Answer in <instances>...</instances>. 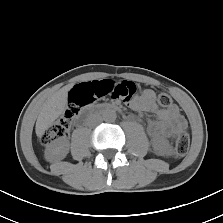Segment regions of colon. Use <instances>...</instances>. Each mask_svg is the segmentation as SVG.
Returning <instances> with one entry per match:
<instances>
[{
  "instance_id": "5ec220e1",
  "label": "colon",
  "mask_w": 223,
  "mask_h": 223,
  "mask_svg": "<svg viewBox=\"0 0 223 223\" xmlns=\"http://www.w3.org/2000/svg\"><path fill=\"white\" fill-rule=\"evenodd\" d=\"M136 92L137 87L131 81H122L116 84L109 80H102L75 85L69 91L68 104L64 115L45 132L42 139L43 143L46 144L66 137L73 120L83 106L104 96H110L113 99L127 102L132 99ZM157 101L162 107H169L172 104L171 97L166 93L159 94ZM189 147V134L185 131L180 132L175 143L176 156H184L188 152Z\"/></svg>"
}]
</instances>
